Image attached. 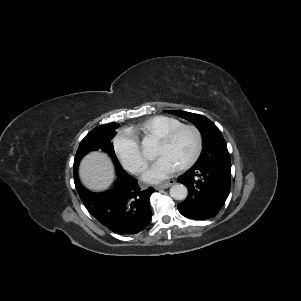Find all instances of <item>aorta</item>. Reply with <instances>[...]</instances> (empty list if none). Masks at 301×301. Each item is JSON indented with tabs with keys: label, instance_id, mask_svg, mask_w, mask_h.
Instances as JSON below:
<instances>
[{
	"label": "aorta",
	"instance_id": "1",
	"mask_svg": "<svg viewBox=\"0 0 301 301\" xmlns=\"http://www.w3.org/2000/svg\"><path fill=\"white\" fill-rule=\"evenodd\" d=\"M170 195L176 200H184L188 195V190L185 185L176 184L170 188Z\"/></svg>",
	"mask_w": 301,
	"mask_h": 301
}]
</instances>
